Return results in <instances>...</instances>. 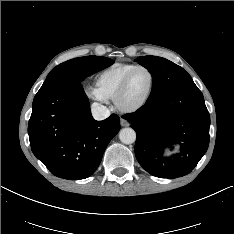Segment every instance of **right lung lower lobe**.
Returning <instances> with one entry per match:
<instances>
[{
    "label": "right lung lower lobe",
    "instance_id": "obj_1",
    "mask_svg": "<svg viewBox=\"0 0 234 234\" xmlns=\"http://www.w3.org/2000/svg\"><path fill=\"white\" fill-rule=\"evenodd\" d=\"M120 130V118L103 121L91 116L88 98L71 73L45 80L33 100L28 134L33 154L60 178L91 176Z\"/></svg>",
    "mask_w": 234,
    "mask_h": 234
}]
</instances>
